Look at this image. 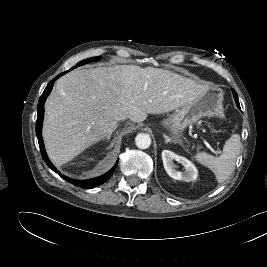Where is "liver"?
Segmentation results:
<instances>
[{
  "label": "liver",
  "instance_id": "obj_1",
  "mask_svg": "<svg viewBox=\"0 0 267 267\" xmlns=\"http://www.w3.org/2000/svg\"><path fill=\"white\" fill-rule=\"evenodd\" d=\"M208 85L169 70L136 65L76 69L59 78L45 102L42 135L63 165L110 134L118 117L143 122L196 100Z\"/></svg>",
  "mask_w": 267,
  "mask_h": 267
}]
</instances>
